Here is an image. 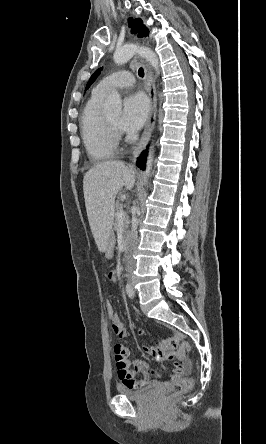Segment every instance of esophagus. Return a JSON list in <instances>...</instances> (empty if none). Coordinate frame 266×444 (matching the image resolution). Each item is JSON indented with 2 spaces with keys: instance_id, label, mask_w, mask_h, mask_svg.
<instances>
[{
  "instance_id": "obj_1",
  "label": "esophagus",
  "mask_w": 266,
  "mask_h": 444,
  "mask_svg": "<svg viewBox=\"0 0 266 444\" xmlns=\"http://www.w3.org/2000/svg\"><path fill=\"white\" fill-rule=\"evenodd\" d=\"M146 80H147V92L150 99V113L145 126V129L140 137L138 143L132 148V158L131 162L134 164L136 162L139 154L144 150L151 133L153 131L155 120H156V112H157V97H156V88L154 84V79L152 76V72L147 66L146 69Z\"/></svg>"
}]
</instances>
